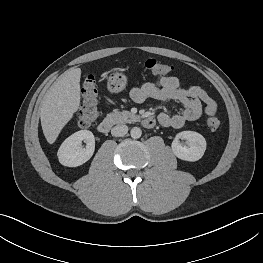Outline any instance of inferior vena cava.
<instances>
[{
  "mask_svg": "<svg viewBox=\"0 0 263 263\" xmlns=\"http://www.w3.org/2000/svg\"><path fill=\"white\" fill-rule=\"evenodd\" d=\"M128 132V127L126 125L120 124L116 125L111 129V134L116 137H122Z\"/></svg>",
  "mask_w": 263,
  "mask_h": 263,
  "instance_id": "obj_1",
  "label": "inferior vena cava"
}]
</instances>
